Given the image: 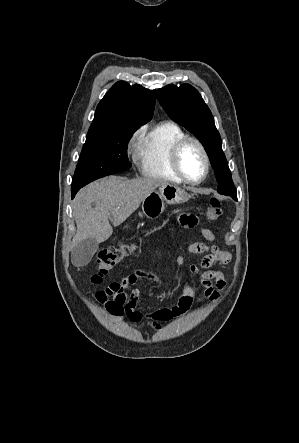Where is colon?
<instances>
[{
  "mask_svg": "<svg viewBox=\"0 0 299 443\" xmlns=\"http://www.w3.org/2000/svg\"><path fill=\"white\" fill-rule=\"evenodd\" d=\"M222 215L221 201L213 197L207 209V216L211 221L219 219ZM135 248L133 245L120 242L101 249L97 256V272L93 275L94 283L102 282L103 278L116 267L123 259L129 257Z\"/></svg>",
  "mask_w": 299,
  "mask_h": 443,
  "instance_id": "obj_1",
  "label": "colon"
}]
</instances>
